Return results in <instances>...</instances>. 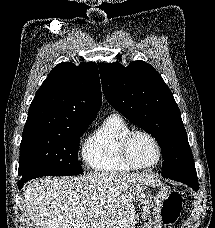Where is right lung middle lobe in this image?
Returning a JSON list of instances; mask_svg holds the SVG:
<instances>
[{"label":"right lung middle lobe","mask_w":215,"mask_h":228,"mask_svg":"<svg viewBox=\"0 0 215 228\" xmlns=\"http://www.w3.org/2000/svg\"><path fill=\"white\" fill-rule=\"evenodd\" d=\"M91 123L62 124L24 131L20 144V180L81 174L78 146L80 137Z\"/></svg>","instance_id":"dd1d6c3e"}]
</instances>
